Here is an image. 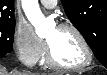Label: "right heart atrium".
I'll list each match as a JSON object with an SVG mask.
<instances>
[{
    "label": "right heart atrium",
    "instance_id": "right-heart-atrium-1",
    "mask_svg": "<svg viewBox=\"0 0 107 75\" xmlns=\"http://www.w3.org/2000/svg\"><path fill=\"white\" fill-rule=\"evenodd\" d=\"M14 49L18 58L28 66L37 64L44 56L46 45L31 26L18 23L14 32Z\"/></svg>",
    "mask_w": 107,
    "mask_h": 75
}]
</instances>
